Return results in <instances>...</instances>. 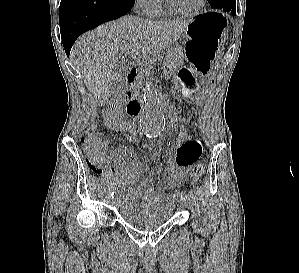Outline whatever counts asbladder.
<instances>
[{
	"instance_id": "1",
	"label": "bladder",
	"mask_w": 299,
	"mask_h": 273,
	"mask_svg": "<svg viewBox=\"0 0 299 273\" xmlns=\"http://www.w3.org/2000/svg\"><path fill=\"white\" fill-rule=\"evenodd\" d=\"M173 209L174 202L170 207L156 209L147 216L126 211H121L119 216L120 219L128 226L140 231H149L168 223L172 218Z\"/></svg>"
}]
</instances>
